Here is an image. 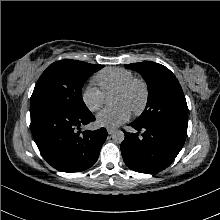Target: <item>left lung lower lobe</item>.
Wrapping results in <instances>:
<instances>
[{
	"label": "left lung lower lobe",
	"instance_id": "obj_1",
	"mask_svg": "<svg viewBox=\"0 0 220 220\" xmlns=\"http://www.w3.org/2000/svg\"><path fill=\"white\" fill-rule=\"evenodd\" d=\"M129 126L137 133L124 132L121 153L125 164L133 171L147 174L158 173L167 168L182 149L186 133L165 124ZM143 133L139 136V132Z\"/></svg>",
	"mask_w": 220,
	"mask_h": 220
}]
</instances>
